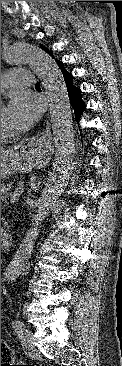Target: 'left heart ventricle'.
I'll list each match as a JSON object with an SVG mask.
<instances>
[{"instance_id":"b2bd125f","label":"left heart ventricle","mask_w":122,"mask_h":366,"mask_svg":"<svg viewBox=\"0 0 122 366\" xmlns=\"http://www.w3.org/2000/svg\"><path fill=\"white\" fill-rule=\"evenodd\" d=\"M1 132L8 134L15 132L14 128L6 118V108H4V106H1Z\"/></svg>"}]
</instances>
